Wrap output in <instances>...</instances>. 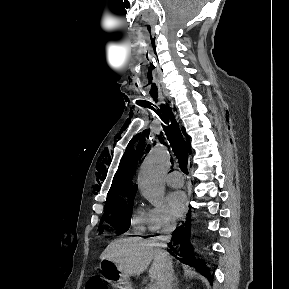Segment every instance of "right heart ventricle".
<instances>
[{
  "instance_id": "1",
  "label": "right heart ventricle",
  "mask_w": 289,
  "mask_h": 289,
  "mask_svg": "<svg viewBox=\"0 0 289 289\" xmlns=\"http://www.w3.org/2000/svg\"><path fill=\"white\" fill-rule=\"evenodd\" d=\"M148 217L149 210L144 209L142 206H137L132 213V227L136 234H145L148 230Z\"/></svg>"
}]
</instances>
